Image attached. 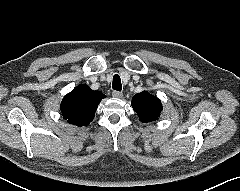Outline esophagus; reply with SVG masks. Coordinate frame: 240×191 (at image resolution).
Instances as JSON below:
<instances>
[{
	"label": "esophagus",
	"instance_id": "1",
	"mask_svg": "<svg viewBox=\"0 0 240 191\" xmlns=\"http://www.w3.org/2000/svg\"><path fill=\"white\" fill-rule=\"evenodd\" d=\"M112 96L115 98H122L123 94L119 91H113Z\"/></svg>",
	"mask_w": 240,
	"mask_h": 191
}]
</instances>
